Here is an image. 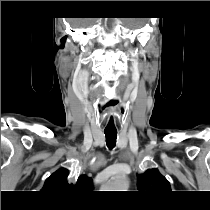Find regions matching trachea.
<instances>
[{
    "instance_id": "1",
    "label": "trachea",
    "mask_w": 210,
    "mask_h": 210,
    "mask_svg": "<svg viewBox=\"0 0 210 210\" xmlns=\"http://www.w3.org/2000/svg\"><path fill=\"white\" fill-rule=\"evenodd\" d=\"M106 144L109 149H113L116 145L117 131H104Z\"/></svg>"
}]
</instances>
